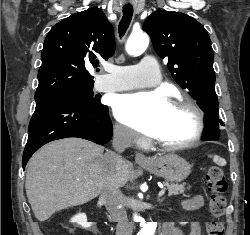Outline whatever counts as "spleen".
<instances>
[{"label": "spleen", "instance_id": "obj_1", "mask_svg": "<svg viewBox=\"0 0 250 235\" xmlns=\"http://www.w3.org/2000/svg\"><path fill=\"white\" fill-rule=\"evenodd\" d=\"M213 160L216 164L220 165V166H225L226 165V161L223 158H220L219 156H214Z\"/></svg>", "mask_w": 250, "mask_h": 235}]
</instances>
